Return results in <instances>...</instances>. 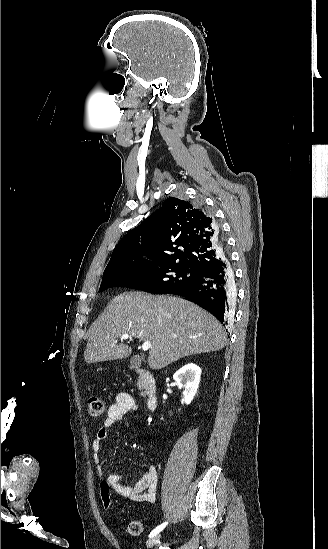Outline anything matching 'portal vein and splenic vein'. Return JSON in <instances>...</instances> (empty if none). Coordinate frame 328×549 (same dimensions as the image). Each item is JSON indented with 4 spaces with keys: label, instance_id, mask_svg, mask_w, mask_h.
<instances>
[{
    "label": "portal vein and splenic vein",
    "instance_id": "portal-vein-and-splenic-vein-1",
    "mask_svg": "<svg viewBox=\"0 0 328 549\" xmlns=\"http://www.w3.org/2000/svg\"><path fill=\"white\" fill-rule=\"evenodd\" d=\"M120 339H131L130 335H121ZM115 343H117V341H115ZM151 347V343L150 341H145V343H143L141 349L142 351H148V349H150Z\"/></svg>",
    "mask_w": 328,
    "mask_h": 549
}]
</instances>
